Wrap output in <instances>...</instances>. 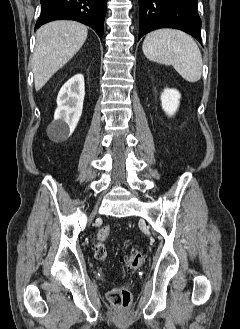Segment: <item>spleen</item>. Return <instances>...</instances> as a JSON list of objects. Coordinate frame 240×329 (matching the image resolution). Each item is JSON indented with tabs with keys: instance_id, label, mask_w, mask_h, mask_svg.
<instances>
[{
	"instance_id": "spleen-1",
	"label": "spleen",
	"mask_w": 240,
	"mask_h": 329,
	"mask_svg": "<svg viewBox=\"0 0 240 329\" xmlns=\"http://www.w3.org/2000/svg\"><path fill=\"white\" fill-rule=\"evenodd\" d=\"M142 50L151 61L172 65L183 79L194 83L202 75V56L194 39L179 30L158 29L146 35Z\"/></svg>"
}]
</instances>
